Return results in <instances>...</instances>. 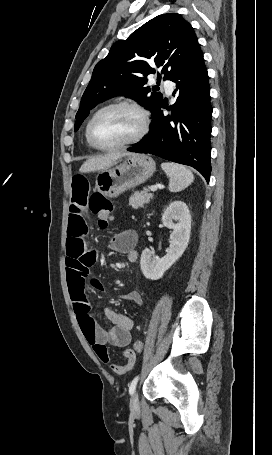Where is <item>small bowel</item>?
I'll return each instance as SVG.
<instances>
[{
    "label": "small bowel",
    "instance_id": "1",
    "mask_svg": "<svg viewBox=\"0 0 272 455\" xmlns=\"http://www.w3.org/2000/svg\"><path fill=\"white\" fill-rule=\"evenodd\" d=\"M90 193V182L85 174L78 173L71 182V204L67 230V281L74 312L82 333L93 348L101 362L110 363L109 346L121 349L122 356L127 360L125 365H111V369L118 375H123L132 370L136 362V354L127 348L132 340V319L111 308L104 309L105 317L110 321L108 329L102 328L93 317L90 303L86 294L91 267L97 260V253L91 249L85 240L88 233L86 221L87 203ZM137 235L133 230H124L114 235L108 248L124 254L127 260L134 263L138 260ZM101 289L98 282L93 283ZM122 298L137 305L143 302L142 294L138 290H130Z\"/></svg>",
    "mask_w": 272,
    "mask_h": 455
}]
</instances>
